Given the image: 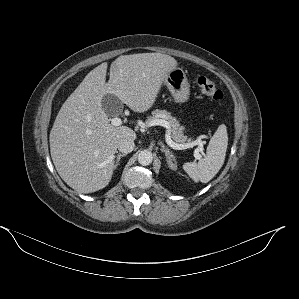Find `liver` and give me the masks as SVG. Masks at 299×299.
Listing matches in <instances>:
<instances>
[{"label":"liver","mask_w":299,"mask_h":299,"mask_svg":"<svg viewBox=\"0 0 299 299\" xmlns=\"http://www.w3.org/2000/svg\"><path fill=\"white\" fill-rule=\"evenodd\" d=\"M177 61L162 53L119 56L90 71L59 110L50 132V153L60 177L80 193L105 188L111 181L117 144L136 139L127 126H113L102 108L106 94L115 95L132 111L149 110Z\"/></svg>","instance_id":"obj_1"}]
</instances>
